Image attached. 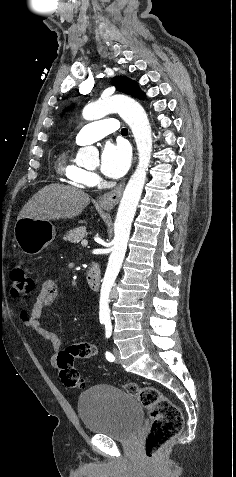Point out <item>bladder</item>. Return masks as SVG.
Wrapping results in <instances>:
<instances>
[{
  "mask_svg": "<svg viewBox=\"0 0 236 477\" xmlns=\"http://www.w3.org/2000/svg\"><path fill=\"white\" fill-rule=\"evenodd\" d=\"M78 412L91 434L130 440L143 420L141 403L119 387L99 384L78 399Z\"/></svg>",
  "mask_w": 236,
  "mask_h": 477,
  "instance_id": "bladder-1",
  "label": "bladder"
}]
</instances>
